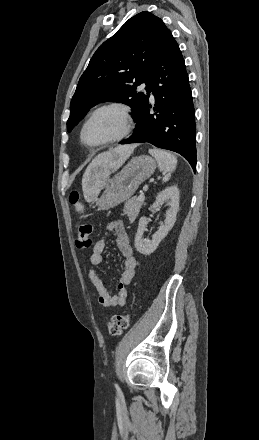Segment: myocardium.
Wrapping results in <instances>:
<instances>
[{
    "mask_svg": "<svg viewBox=\"0 0 259 440\" xmlns=\"http://www.w3.org/2000/svg\"><path fill=\"white\" fill-rule=\"evenodd\" d=\"M109 109H113L119 112L121 119H122V131L120 132L119 135H117L116 137L106 140L104 142H100L97 144H88L85 142L84 137H83V133L84 130L87 126V124L90 122V120L97 115L98 113L104 111V110H109ZM134 127V121H133V112H132V108L124 102L121 101H110V102H106L103 103L97 107H95L93 110H91L85 117V119L83 120L80 130H79V139L80 142L87 148L90 149H97V148H101V147H105L117 142H120L121 140L125 139L127 136L130 135V133L132 132Z\"/></svg>",
    "mask_w": 259,
    "mask_h": 440,
    "instance_id": "1",
    "label": "myocardium"
}]
</instances>
